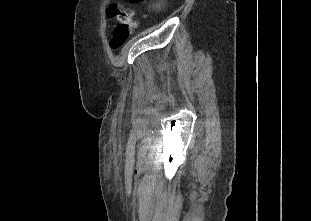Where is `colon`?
Returning a JSON list of instances; mask_svg holds the SVG:
<instances>
[{"label": "colon", "mask_w": 311, "mask_h": 221, "mask_svg": "<svg viewBox=\"0 0 311 221\" xmlns=\"http://www.w3.org/2000/svg\"><path fill=\"white\" fill-rule=\"evenodd\" d=\"M108 17H112L113 20H120L122 18H131L134 13L129 10H123L119 2H108ZM136 27V26H135ZM133 26H118L113 29L112 35L110 37V48L112 50H117L122 47L128 40L130 34L135 29Z\"/></svg>", "instance_id": "1"}]
</instances>
